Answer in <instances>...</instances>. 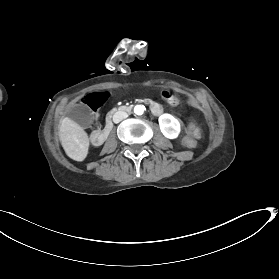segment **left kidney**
<instances>
[{"mask_svg": "<svg viewBox=\"0 0 279 279\" xmlns=\"http://www.w3.org/2000/svg\"><path fill=\"white\" fill-rule=\"evenodd\" d=\"M160 130L167 138H177L180 133V122L170 114H163L159 117Z\"/></svg>", "mask_w": 279, "mask_h": 279, "instance_id": "obj_1", "label": "left kidney"}]
</instances>
